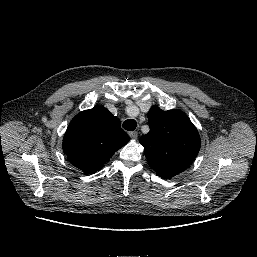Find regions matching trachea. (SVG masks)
Returning a JSON list of instances; mask_svg holds the SVG:
<instances>
[{
    "label": "trachea",
    "instance_id": "1",
    "mask_svg": "<svg viewBox=\"0 0 257 257\" xmlns=\"http://www.w3.org/2000/svg\"><path fill=\"white\" fill-rule=\"evenodd\" d=\"M137 123L134 119H127L123 123V128L127 131H133L136 129Z\"/></svg>",
    "mask_w": 257,
    "mask_h": 257
}]
</instances>
